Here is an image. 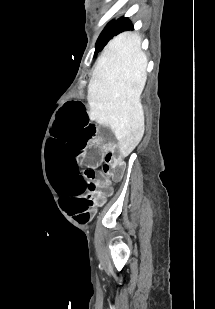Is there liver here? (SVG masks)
<instances>
[{
    "label": "liver",
    "instance_id": "6515ba94",
    "mask_svg": "<svg viewBox=\"0 0 215 309\" xmlns=\"http://www.w3.org/2000/svg\"><path fill=\"white\" fill-rule=\"evenodd\" d=\"M137 32H121L98 56L88 84L90 114L110 126L123 157L139 144L145 130L140 102L147 78L148 58Z\"/></svg>",
    "mask_w": 215,
    "mask_h": 309
}]
</instances>
